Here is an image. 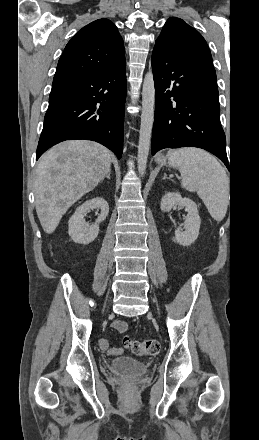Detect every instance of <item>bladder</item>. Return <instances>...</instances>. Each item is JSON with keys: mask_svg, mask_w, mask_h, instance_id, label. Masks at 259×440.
<instances>
[{"mask_svg": "<svg viewBox=\"0 0 259 440\" xmlns=\"http://www.w3.org/2000/svg\"><path fill=\"white\" fill-rule=\"evenodd\" d=\"M109 369L115 374L142 375L147 372L148 366L135 358L120 356L111 361Z\"/></svg>", "mask_w": 259, "mask_h": 440, "instance_id": "1", "label": "bladder"}]
</instances>
